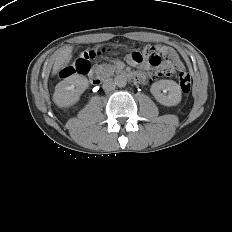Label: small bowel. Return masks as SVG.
Returning <instances> with one entry per match:
<instances>
[{
    "label": "small bowel",
    "mask_w": 232,
    "mask_h": 232,
    "mask_svg": "<svg viewBox=\"0 0 232 232\" xmlns=\"http://www.w3.org/2000/svg\"><path fill=\"white\" fill-rule=\"evenodd\" d=\"M162 48H163V50L165 51V53H166L168 56H170V57L173 58L175 66H176L178 69H180V68L182 67V63H181V61L179 60V58H178L176 52L174 51V49H172L171 47H167V46H162ZM147 61H148V60H147L145 57H143L142 60H141L140 62L135 61V60L132 58V56L129 57V62H130V64H132V65H138V64H141V63H142V64H144L145 66H147ZM148 62H149V61H148ZM149 64H150V63H149ZM140 76H141V73H140V72H136V73H135V77H136V78H140Z\"/></svg>",
    "instance_id": "c3829d8e"
}]
</instances>
